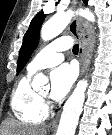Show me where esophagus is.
Returning a JSON list of instances; mask_svg holds the SVG:
<instances>
[{
    "instance_id": "34e87169",
    "label": "esophagus",
    "mask_w": 112,
    "mask_h": 135,
    "mask_svg": "<svg viewBox=\"0 0 112 135\" xmlns=\"http://www.w3.org/2000/svg\"><path fill=\"white\" fill-rule=\"evenodd\" d=\"M76 6H80V3L73 0L71 2V8H75ZM69 28L72 33L76 34L75 36L79 40V55L82 75L89 64L90 55L93 47V34L88 23L82 18H75L74 20H72ZM58 120L59 114L50 122L49 127L56 128L58 125Z\"/></svg>"
}]
</instances>
